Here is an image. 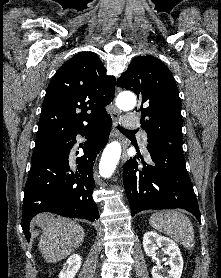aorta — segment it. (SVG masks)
<instances>
[{"label": "aorta", "instance_id": "1", "mask_svg": "<svg viewBox=\"0 0 221 278\" xmlns=\"http://www.w3.org/2000/svg\"><path fill=\"white\" fill-rule=\"evenodd\" d=\"M116 104L123 110L133 109L136 104V97L133 94L121 95L117 98ZM120 156L121 144L118 141H113L106 146L99 164V173L102 177L108 178L113 174Z\"/></svg>", "mask_w": 221, "mask_h": 278}]
</instances>
